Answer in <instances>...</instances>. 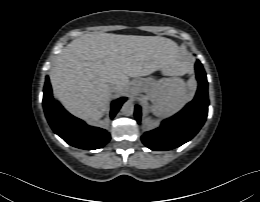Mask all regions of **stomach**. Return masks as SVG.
I'll return each mask as SVG.
<instances>
[{"label":"stomach","mask_w":260,"mask_h":202,"mask_svg":"<svg viewBox=\"0 0 260 202\" xmlns=\"http://www.w3.org/2000/svg\"><path fill=\"white\" fill-rule=\"evenodd\" d=\"M160 83V81L155 80L153 77L140 78L136 84V91L152 97Z\"/></svg>","instance_id":"0dacf381"}]
</instances>
